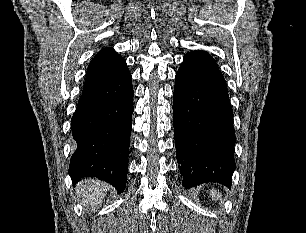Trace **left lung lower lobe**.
I'll return each mask as SVG.
<instances>
[{
  "instance_id": "0a47b994",
  "label": "left lung lower lobe",
  "mask_w": 306,
  "mask_h": 233,
  "mask_svg": "<svg viewBox=\"0 0 306 233\" xmlns=\"http://www.w3.org/2000/svg\"><path fill=\"white\" fill-rule=\"evenodd\" d=\"M175 146L183 185L231 186L235 170L233 111L227 85L207 52H188L175 77Z\"/></svg>"
}]
</instances>
